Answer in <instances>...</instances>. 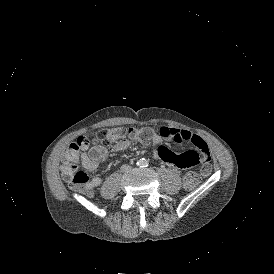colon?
<instances>
[{"label": "colon", "mask_w": 274, "mask_h": 274, "mask_svg": "<svg viewBox=\"0 0 274 274\" xmlns=\"http://www.w3.org/2000/svg\"><path fill=\"white\" fill-rule=\"evenodd\" d=\"M122 135H126L138 142H146L152 137L153 131L148 128L135 127L123 131L120 127H111L106 128L99 133L101 141L105 145L112 144L114 141L121 138ZM87 145V139L84 138V135L78 134L76 146H69L64 155L65 162L62 165V172L69 179L70 184L75 188L86 189L87 187H90L89 176L85 171L78 168L79 147H86ZM200 180L201 177L197 176L192 170L183 177V184L187 188H193L200 182Z\"/></svg>", "instance_id": "obj_1"}]
</instances>
